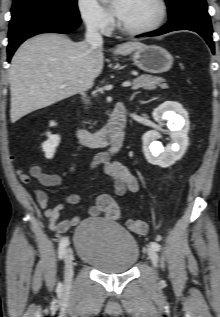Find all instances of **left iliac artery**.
<instances>
[{"label":"left iliac artery","instance_id":"44dca946","mask_svg":"<svg viewBox=\"0 0 220 317\" xmlns=\"http://www.w3.org/2000/svg\"><path fill=\"white\" fill-rule=\"evenodd\" d=\"M150 245L155 251H159L161 249V246L156 242H151Z\"/></svg>","mask_w":220,"mask_h":317}]
</instances>
